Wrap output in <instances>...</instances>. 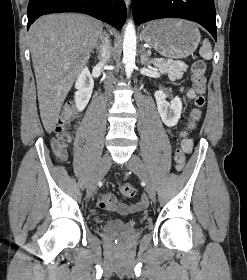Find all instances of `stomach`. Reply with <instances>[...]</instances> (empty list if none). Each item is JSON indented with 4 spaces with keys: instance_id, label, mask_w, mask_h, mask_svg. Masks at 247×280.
<instances>
[{
    "instance_id": "1",
    "label": "stomach",
    "mask_w": 247,
    "mask_h": 280,
    "mask_svg": "<svg viewBox=\"0 0 247 280\" xmlns=\"http://www.w3.org/2000/svg\"><path fill=\"white\" fill-rule=\"evenodd\" d=\"M141 36L160 55L170 59H182L193 54L201 39L194 23L173 18L149 22L142 29Z\"/></svg>"
}]
</instances>
